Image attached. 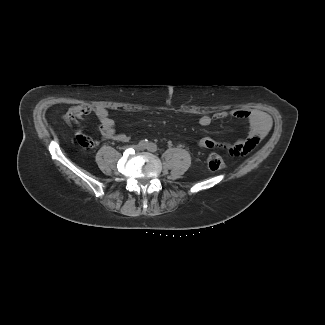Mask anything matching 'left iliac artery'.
I'll return each instance as SVG.
<instances>
[{
  "instance_id": "obj_1",
  "label": "left iliac artery",
  "mask_w": 325,
  "mask_h": 325,
  "mask_svg": "<svg viewBox=\"0 0 325 325\" xmlns=\"http://www.w3.org/2000/svg\"><path fill=\"white\" fill-rule=\"evenodd\" d=\"M147 148H148V150L150 152H156L157 151V145L154 144V143H149Z\"/></svg>"
}]
</instances>
